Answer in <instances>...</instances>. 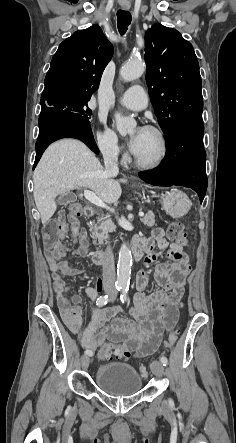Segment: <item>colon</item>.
<instances>
[{
    "mask_svg": "<svg viewBox=\"0 0 236 443\" xmlns=\"http://www.w3.org/2000/svg\"><path fill=\"white\" fill-rule=\"evenodd\" d=\"M67 221L71 226L72 232L79 230V218L81 216V207L78 204L72 203L67 206ZM64 224L59 219L52 220L44 228V240L49 247L54 256L60 257L62 255V247L59 243L58 238L64 235ZM169 237L174 240L175 243L181 246H186L188 244L187 233L185 227L182 223L174 221L169 225L168 228ZM180 330L178 328L174 329L167 341L166 350L168 352L172 351L178 342ZM131 356L130 348L116 343H106L101 346L99 350V357L102 361L110 360H126ZM140 373L143 377L148 375V371L145 366L140 367Z\"/></svg>",
    "mask_w": 236,
    "mask_h": 443,
    "instance_id": "5ec220e1",
    "label": "colon"
}]
</instances>
